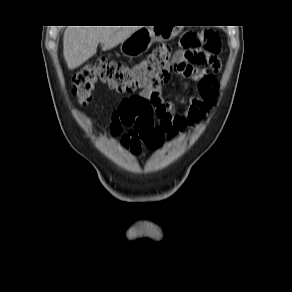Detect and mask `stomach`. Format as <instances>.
Here are the masks:
<instances>
[{
    "label": "stomach",
    "instance_id": "0dacf381",
    "mask_svg": "<svg viewBox=\"0 0 292 292\" xmlns=\"http://www.w3.org/2000/svg\"><path fill=\"white\" fill-rule=\"evenodd\" d=\"M180 29L175 27L164 29L160 27L140 28L121 44V52L127 57H134L147 51L155 41L173 38Z\"/></svg>",
    "mask_w": 292,
    "mask_h": 292
}]
</instances>
